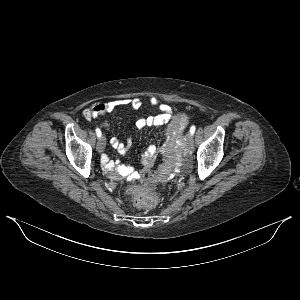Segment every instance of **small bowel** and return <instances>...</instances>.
<instances>
[{"mask_svg":"<svg viewBox=\"0 0 300 300\" xmlns=\"http://www.w3.org/2000/svg\"><path fill=\"white\" fill-rule=\"evenodd\" d=\"M150 103L157 107L159 113L152 116L142 117L134 123L136 129H142L145 127H162L166 125L173 114V110L167 104H164L157 100L156 98H151ZM130 105L134 109H139L142 105V101L139 98L133 99H114L105 103L94 105L83 111V116L85 119L89 120L97 117H104L111 113L113 110ZM107 126V123H105ZM131 139L126 142H121L120 140L114 138L111 140V146L120 154L125 155L130 147ZM156 154V147L151 145L147 147L141 155V164L145 167H149L153 164ZM101 163L104 171L114 179L121 180L123 178H135L136 172L129 165L121 164L119 161H113L108 156H103Z\"/></svg>","mask_w":300,"mask_h":300,"instance_id":"small-bowel-1","label":"small bowel"}]
</instances>
